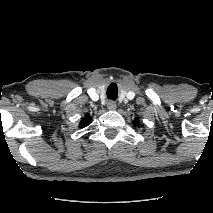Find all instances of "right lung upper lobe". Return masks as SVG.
<instances>
[{
  "instance_id": "right-lung-upper-lobe-1",
  "label": "right lung upper lobe",
  "mask_w": 213,
  "mask_h": 213,
  "mask_svg": "<svg viewBox=\"0 0 213 213\" xmlns=\"http://www.w3.org/2000/svg\"><path fill=\"white\" fill-rule=\"evenodd\" d=\"M91 117L89 115L85 116V118L80 122L79 127H85L89 124Z\"/></svg>"
}]
</instances>
